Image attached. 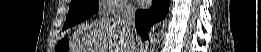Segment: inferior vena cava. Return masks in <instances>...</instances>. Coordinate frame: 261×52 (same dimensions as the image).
<instances>
[{"instance_id": "1", "label": "inferior vena cava", "mask_w": 261, "mask_h": 52, "mask_svg": "<svg viewBox=\"0 0 261 52\" xmlns=\"http://www.w3.org/2000/svg\"><path fill=\"white\" fill-rule=\"evenodd\" d=\"M135 12L136 9L130 3H123L120 7V13L117 17L118 24L122 27L124 33L132 40V48L135 51L136 43L134 37V25H135Z\"/></svg>"}]
</instances>
